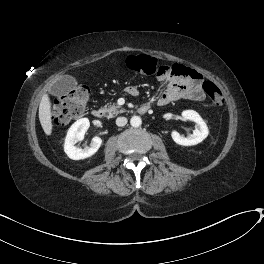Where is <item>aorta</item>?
<instances>
[{
    "instance_id": "1",
    "label": "aorta",
    "mask_w": 264,
    "mask_h": 264,
    "mask_svg": "<svg viewBox=\"0 0 264 264\" xmlns=\"http://www.w3.org/2000/svg\"><path fill=\"white\" fill-rule=\"evenodd\" d=\"M130 124H131L132 127L137 128V127L141 126L142 120H141V118L139 116H133L130 119Z\"/></svg>"
}]
</instances>
